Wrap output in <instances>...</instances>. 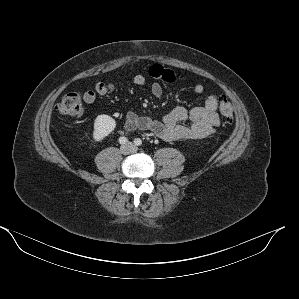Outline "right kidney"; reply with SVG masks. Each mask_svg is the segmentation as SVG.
I'll use <instances>...</instances> for the list:
<instances>
[{
    "label": "right kidney",
    "instance_id": "right-kidney-1",
    "mask_svg": "<svg viewBox=\"0 0 299 299\" xmlns=\"http://www.w3.org/2000/svg\"><path fill=\"white\" fill-rule=\"evenodd\" d=\"M116 127L115 120L109 115H98L94 121L93 139L96 142L102 141Z\"/></svg>",
    "mask_w": 299,
    "mask_h": 299
}]
</instances>
